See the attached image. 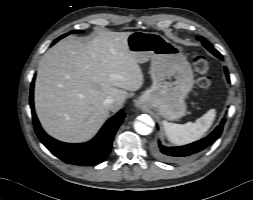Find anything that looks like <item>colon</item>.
I'll list each match as a JSON object with an SVG mask.
<instances>
[{
    "label": "colon",
    "mask_w": 253,
    "mask_h": 200,
    "mask_svg": "<svg viewBox=\"0 0 253 200\" xmlns=\"http://www.w3.org/2000/svg\"><path fill=\"white\" fill-rule=\"evenodd\" d=\"M193 60L195 70L200 74V77L198 78V86L203 93H207L212 84L211 77L208 74L209 64L207 60L199 54H194Z\"/></svg>",
    "instance_id": "5ec220e1"
}]
</instances>
